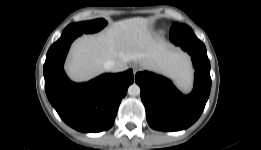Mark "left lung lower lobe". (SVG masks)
<instances>
[{
	"instance_id": "1",
	"label": "left lung lower lobe",
	"mask_w": 261,
	"mask_h": 150,
	"mask_svg": "<svg viewBox=\"0 0 261 150\" xmlns=\"http://www.w3.org/2000/svg\"><path fill=\"white\" fill-rule=\"evenodd\" d=\"M170 40L187 51L195 68L194 89L183 95L165 77L147 71L138 72L136 83L141 88V99L151 128L178 131L191 126L201 115L211 89L210 61L205 45L193 30L184 24H174Z\"/></svg>"
}]
</instances>
